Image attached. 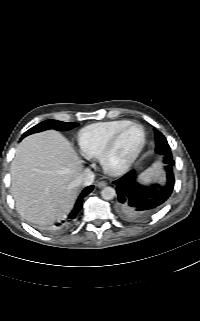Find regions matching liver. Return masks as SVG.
Returning a JSON list of instances; mask_svg holds the SVG:
<instances>
[{"label":"liver","instance_id":"1","mask_svg":"<svg viewBox=\"0 0 200 321\" xmlns=\"http://www.w3.org/2000/svg\"><path fill=\"white\" fill-rule=\"evenodd\" d=\"M82 161L69 141L49 130L26 137L11 164V194L28 222L46 224L64 218L79 187Z\"/></svg>","mask_w":200,"mask_h":321}]
</instances>
